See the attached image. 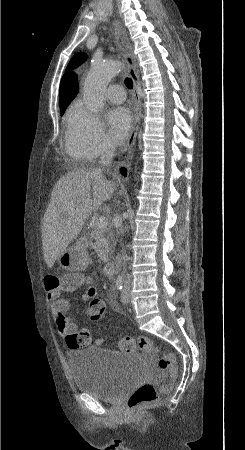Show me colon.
I'll list each match as a JSON object with an SVG mask.
<instances>
[{"label":"colon","instance_id":"colon-1","mask_svg":"<svg viewBox=\"0 0 245 450\" xmlns=\"http://www.w3.org/2000/svg\"><path fill=\"white\" fill-rule=\"evenodd\" d=\"M84 281L81 272H68L61 276L48 278L46 280L47 289L69 290L80 285ZM105 315L104 303L100 300L92 301L87 309V319L89 321H99ZM69 341L74 347L83 346L90 342L91 337L88 331L80 330L69 335ZM120 346L124 350H132L137 347L140 350L151 352L156 355L158 367L167 373L173 379L176 376V364L174 354L160 349L153 341L147 337L132 338L127 337L121 340ZM172 387V381L165 383L162 387L164 391H169ZM158 399L157 391L153 384L145 383L139 385L128 399V407L133 413Z\"/></svg>","mask_w":245,"mask_h":450}]
</instances>
